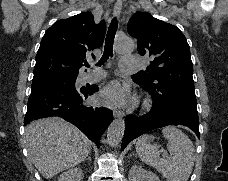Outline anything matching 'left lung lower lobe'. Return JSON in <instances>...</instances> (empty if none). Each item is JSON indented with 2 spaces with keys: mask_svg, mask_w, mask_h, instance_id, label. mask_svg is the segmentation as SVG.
<instances>
[{
  "mask_svg": "<svg viewBox=\"0 0 228 181\" xmlns=\"http://www.w3.org/2000/svg\"><path fill=\"white\" fill-rule=\"evenodd\" d=\"M153 105L143 116L128 115L121 149L140 135L168 125H182L192 129L199 138V119L196 106L189 102L169 103L151 94Z\"/></svg>",
  "mask_w": 228,
  "mask_h": 181,
  "instance_id": "obj_1",
  "label": "left lung lower lobe"
}]
</instances>
